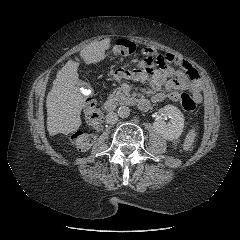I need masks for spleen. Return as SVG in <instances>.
Returning a JSON list of instances; mask_svg holds the SVG:
<instances>
[{
    "label": "spleen",
    "mask_w": 240,
    "mask_h": 240,
    "mask_svg": "<svg viewBox=\"0 0 240 240\" xmlns=\"http://www.w3.org/2000/svg\"><path fill=\"white\" fill-rule=\"evenodd\" d=\"M195 136H196V133H195V130H194V129H192V130H190V131L188 132V134H187V136H186V138H185V140H184V144H183V149H184L185 151H188V150L191 148V146H192L193 143H194Z\"/></svg>",
    "instance_id": "spleen-1"
}]
</instances>
